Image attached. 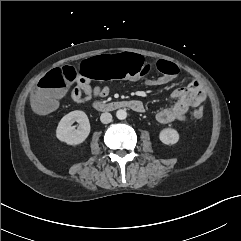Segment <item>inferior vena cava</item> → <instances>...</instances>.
I'll return each mask as SVG.
<instances>
[{"mask_svg":"<svg viewBox=\"0 0 241 241\" xmlns=\"http://www.w3.org/2000/svg\"><path fill=\"white\" fill-rule=\"evenodd\" d=\"M100 120L103 124H108L112 121V115L108 112L102 113L100 116Z\"/></svg>","mask_w":241,"mask_h":241,"instance_id":"1","label":"inferior vena cava"}]
</instances>
